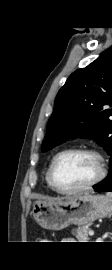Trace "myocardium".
<instances>
[{"label": "myocardium", "mask_w": 112, "mask_h": 270, "mask_svg": "<svg viewBox=\"0 0 112 270\" xmlns=\"http://www.w3.org/2000/svg\"><path fill=\"white\" fill-rule=\"evenodd\" d=\"M70 153H82V154H88V155L93 156L97 160V163H98V173L93 180H91L89 183L83 186L73 188V189H64V188H61L57 184L55 180V176H54V170H55V166L58 160L62 156L66 154H70ZM105 176H106V162H105L104 156L96 149L89 148V147H72V148H67L58 152L53 157L51 164L48 168V181L52 189L55 190L57 193L64 194V195L82 193L84 191L92 189L93 187L98 185L105 178Z\"/></svg>", "instance_id": "myocardium-1"}]
</instances>
